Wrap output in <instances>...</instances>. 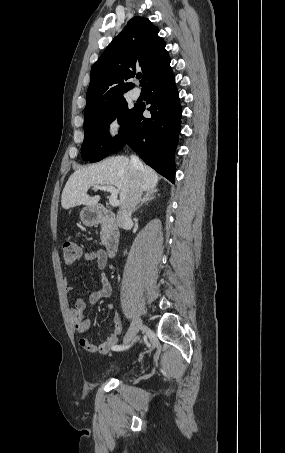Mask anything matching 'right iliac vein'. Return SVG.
Masks as SVG:
<instances>
[{"mask_svg":"<svg viewBox=\"0 0 285 453\" xmlns=\"http://www.w3.org/2000/svg\"><path fill=\"white\" fill-rule=\"evenodd\" d=\"M142 326V321L139 316L135 315L133 321L124 337V344L130 343L138 333L139 329Z\"/></svg>","mask_w":285,"mask_h":453,"instance_id":"63e3f726","label":"right iliac vein"}]
</instances>
